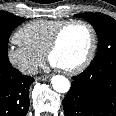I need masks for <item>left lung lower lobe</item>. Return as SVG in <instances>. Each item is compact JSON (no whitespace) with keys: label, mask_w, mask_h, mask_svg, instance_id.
I'll use <instances>...</instances> for the list:
<instances>
[{"label":"left lung lower lobe","mask_w":116,"mask_h":116,"mask_svg":"<svg viewBox=\"0 0 116 116\" xmlns=\"http://www.w3.org/2000/svg\"><path fill=\"white\" fill-rule=\"evenodd\" d=\"M65 116H116V61L91 64L73 77Z\"/></svg>","instance_id":"obj_1"}]
</instances>
